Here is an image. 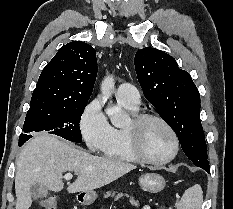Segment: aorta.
Returning a JSON list of instances; mask_svg holds the SVG:
<instances>
[{
  "label": "aorta",
  "mask_w": 233,
  "mask_h": 209,
  "mask_svg": "<svg viewBox=\"0 0 233 209\" xmlns=\"http://www.w3.org/2000/svg\"><path fill=\"white\" fill-rule=\"evenodd\" d=\"M115 87V81L113 76H107L104 78L101 84V92H102V101L105 103L109 96H111ZM106 114L110 118L111 123L115 127H123L128 121V115L118 106L109 105L106 110Z\"/></svg>",
  "instance_id": "1"
}]
</instances>
